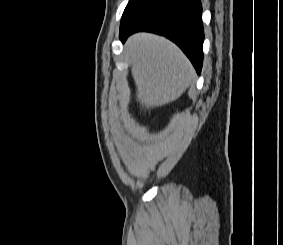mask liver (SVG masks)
Segmentation results:
<instances>
[{"mask_svg": "<svg viewBox=\"0 0 283 245\" xmlns=\"http://www.w3.org/2000/svg\"><path fill=\"white\" fill-rule=\"evenodd\" d=\"M126 48L142 107L150 109L175 101L194 82L190 61L164 37L137 33L128 39Z\"/></svg>", "mask_w": 283, "mask_h": 245, "instance_id": "obj_1", "label": "liver"}]
</instances>
